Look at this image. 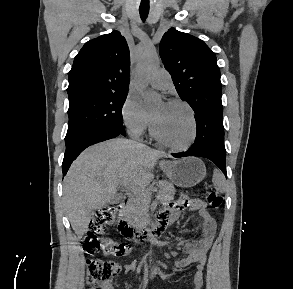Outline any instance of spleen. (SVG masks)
<instances>
[{
  "instance_id": "obj_1",
  "label": "spleen",
  "mask_w": 293,
  "mask_h": 289,
  "mask_svg": "<svg viewBox=\"0 0 293 289\" xmlns=\"http://www.w3.org/2000/svg\"><path fill=\"white\" fill-rule=\"evenodd\" d=\"M212 182L217 191L224 192L226 190V181L224 176L217 169L214 170Z\"/></svg>"
}]
</instances>
